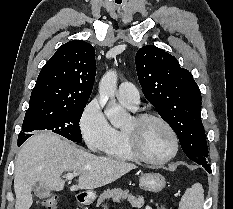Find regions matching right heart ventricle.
Wrapping results in <instances>:
<instances>
[{
    "instance_id": "obj_1",
    "label": "right heart ventricle",
    "mask_w": 233,
    "mask_h": 209,
    "mask_svg": "<svg viewBox=\"0 0 233 209\" xmlns=\"http://www.w3.org/2000/svg\"><path fill=\"white\" fill-rule=\"evenodd\" d=\"M131 110H135L134 108L128 106L127 104L123 103ZM103 154L109 158L121 160V161H134L135 158L130 153L124 130H115L113 141L107 145L103 150Z\"/></svg>"
}]
</instances>
